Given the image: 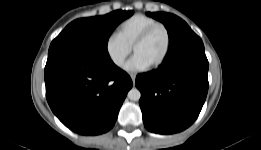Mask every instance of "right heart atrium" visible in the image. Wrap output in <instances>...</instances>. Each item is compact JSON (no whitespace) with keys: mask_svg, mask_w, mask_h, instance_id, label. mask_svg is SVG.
<instances>
[{"mask_svg":"<svg viewBox=\"0 0 261 150\" xmlns=\"http://www.w3.org/2000/svg\"><path fill=\"white\" fill-rule=\"evenodd\" d=\"M105 52L111 63L121 68L131 53V47L124 43L116 34H111L106 38Z\"/></svg>","mask_w":261,"mask_h":150,"instance_id":"1","label":"right heart atrium"}]
</instances>
